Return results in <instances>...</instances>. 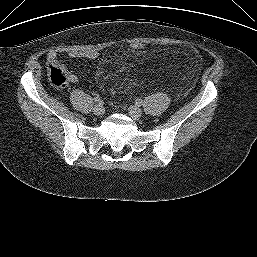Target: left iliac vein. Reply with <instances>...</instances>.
<instances>
[{"label":"left iliac vein","mask_w":257,"mask_h":257,"mask_svg":"<svg viewBox=\"0 0 257 257\" xmlns=\"http://www.w3.org/2000/svg\"><path fill=\"white\" fill-rule=\"evenodd\" d=\"M128 112H129V115L134 119V120H139L142 116V110L137 107V106H130L128 108Z\"/></svg>","instance_id":"4c4485c4"}]
</instances>
